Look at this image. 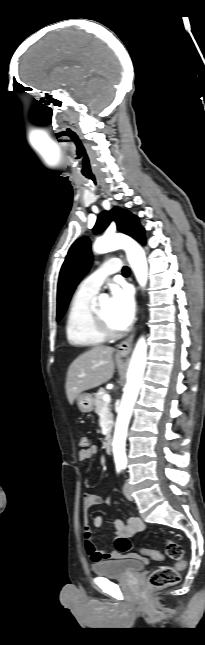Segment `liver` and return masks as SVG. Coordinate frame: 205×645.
<instances>
[{
    "label": "liver",
    "instance_id": "6515ba94",
    "mask_svg": "<svg viewBox=\"0 0 205 645\" xmlns=\"http://www.w3.org/2000/svg\"><path fill=\"white\" fill-rule=\"evenodd\" d=\"M114 348L95 346L78 356L69 366L66 394L70 404L81 392L108 382L114 373Z\"/></svg>",
    "mask_w": 205,
    "mask_h": 645
}]
</instances>
